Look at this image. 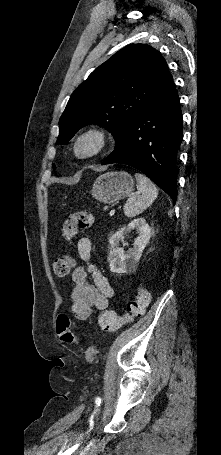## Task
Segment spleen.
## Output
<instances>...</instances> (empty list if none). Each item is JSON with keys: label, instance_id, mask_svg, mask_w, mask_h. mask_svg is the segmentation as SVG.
I'll return each mask as SVG.
<instances>
[{"label": "spleen", "instance_id": "obj_1", "mask_svg": "<svg viewBox=\"0 0 221 455\" xmlns=\"http://www.w3.org/2000/svg\"><path fill=\"white\" fill-rule=\"evenodd\" d=\"M135 178L139 194L130 196L124 205L123 211L128 218L141 214L158 196L156 186L148 177L141 173H136Z\"/></svg>", "mask_w": 221, "mask_h": 455}]
</instances>
